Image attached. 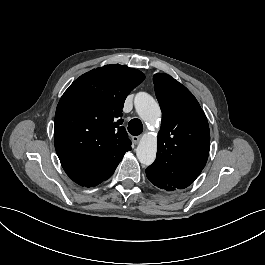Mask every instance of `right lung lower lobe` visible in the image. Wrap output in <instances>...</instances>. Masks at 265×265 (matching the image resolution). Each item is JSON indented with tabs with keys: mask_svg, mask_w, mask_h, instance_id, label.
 I'll return each instance as SVG.
<instances>
[{
	"mask_svg": "<svg viewBox=\"0 0 265 265\" xmlns=\"http://www.w3.org/2000/svg\"><path fill=\"white\" fill-rule=\"evenodd\" d=\"M129 150H120L107 158H60V162L74 182L81 186L92 187L108 179L114 173L125 152Z\"/></svg>",
	"mask_w": 265,
	"mask_h": 265,
	"instance_id": "1",
	"label": "right lung lower lobe"
}]
</instances>
